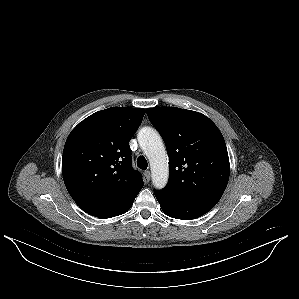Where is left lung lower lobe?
<instances>
[{"label":"left lung lower lobe","instance_id":"1","mask_svg":"<svg viewBox=\"0 0 299 299\" xmlns=\"http://www.w3.org/2000/svg\"><path fill=\"white\" fill-rule=\"evenodd\" d=\"M155 195L166 215L182 220L198 218L210 211L218 202L209 199L173 197L158 191Z\"/></svg>","mask_w":299,"mask_h":299}]
</instances>
